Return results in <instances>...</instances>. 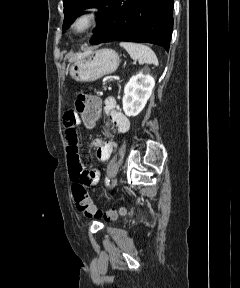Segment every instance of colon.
I'll list each match as a JSON object with an SVG mask.
<instances>
[{
  "mask_svg": "<svg viewBox=\"0 0 240 288\" xmlns=\"http://www.w3.org/2000/svg\"><path fill=\"white\" fill-rule=\"evenodd\" d=\"M75 109L80 115L81 119L86 125H94L100 117L101 102L97 96L79 93L75 99ZM72 195L79 212L86 217L101 218L104 217L106 220L115 219L117 212L110 210L106 213H102L94 205L87 189L80 185L74 184L72 186ZM124 210H120V213H124Z\"/></svg>",
  "mask_w": 240,
  "mask_h": 288,
  "instance_id": "5ec220e1",
  "label": "colon"
}]
</instances>
